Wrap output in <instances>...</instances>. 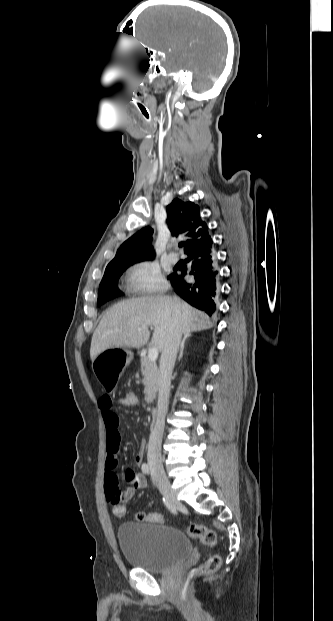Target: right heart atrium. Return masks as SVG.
<instances>
[{"mask_svg": "<svg viewBox=\"0 0 333 621\" xmlns=\"http://www.w3.org/2000/svg\"><path fill=\"white\" fill-rule=\"evenodd\" d=\"M127 283L129 290L136 294L161 293L167 287L159 268L149 261L134 265L128 273Z\"/></svg>", "mask_w": 333, "mask_h": 621, "instance_id": "right-heart-atrium-1", "label": "right heart atrium"}]
</instances>
